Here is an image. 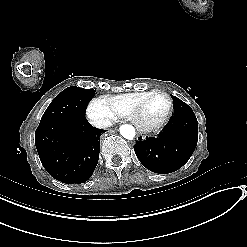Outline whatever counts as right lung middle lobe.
Wrapping results in <instances>:
<instances>
[{
  "label": "right lung middle lobe",
  "mask_w": 247,
  "mask_h": 247,
  "mask_svg": "<svg viewBox=\"0 0 247 247\" xmlns=\"http://www.w3.org/2000/svg\"><path fill=\"white\" fill-rule=\"evenodd\" d=\"M95 90L71 86L59 93L44 112L40 123L64 118H85Z\"/></svg>",
  "instance_id": "1"
}]
</instances>
